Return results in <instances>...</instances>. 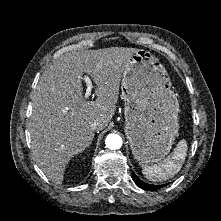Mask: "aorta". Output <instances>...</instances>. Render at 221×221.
<instances>
[{
  "mask_svg": "<svg viewBox=\"0 0 221 221\" xmlns=\"http://www.w3.org/2000/svg\"><path fill=\"white\" fill-rule=\"evenodd\" d=\"M105 143L110 149H120L123 141L118 134H109L106 137Z\"/></svg>",
  "mask_w": 221,
  "mask_h": 221,
  "instance_id": "obj_1",
  "label": "aorta"
}]
</instances>
